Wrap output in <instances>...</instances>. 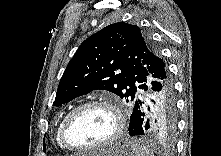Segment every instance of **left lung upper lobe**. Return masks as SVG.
Here are the masks:
<instances>
[{"label":"left lung upper lobe","instance_id":"obj_1","mask_svg":"<svg viewBox=\"0 0 221 156\" xmlns=\"http://www.w3.org/2000/svg\"><path fill=\"white\" fill-rule=\"evenodd\" d=\"M166 69L157 49L138 26L114 23L80 45L63 73L54 105L96 89L108 90L134 105L145 92L150 74Z\"/></svg>","mask_w":221,"mask_h":156}]
</instances>
